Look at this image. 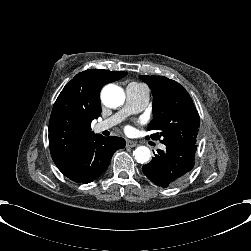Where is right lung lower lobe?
<instances>
[{
	"label": "right lung lower lobe",
	"instance_id": "98d812e1",
	"mask_svg": "<svg viewBox=\"0 0 251 251\" xmlns=\"http://www.w3.org/2000/svg\"><path fill=\"white\" fill-rule=\"evenodd\" d=\"M124 147L123 138L98 134L71 158L56 166L70 180L87 184L100 177L106 171L114 152Z\"/></svg>",
	"mask_w": 251,
	"mask_h": 251
}]
</instances>
